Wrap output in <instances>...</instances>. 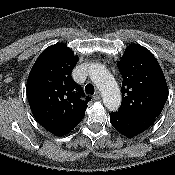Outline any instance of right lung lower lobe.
Wrapping results in <instances>:
<instances>
[{
  "instance_id": "1",
  "label": "right lung lower lobe",
  "mask_w": 175,
  "mask_h": 175,
  "mask_svg": "<svg viewBox=\"0 0 175 175\" xmlns=\"http://www.w3.org/2000/svg\"><path fill=\"white\" fill-rule=\"evenodd\" d=\"M76 127V126H75ZM75 127L70 128V129H65V130H60V131H56V132H51L56 136H64L66 134H68L69 132H71V130H73Z\"/></svg>"
}]
</instances>
